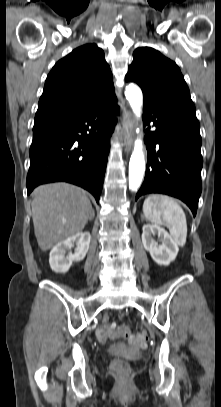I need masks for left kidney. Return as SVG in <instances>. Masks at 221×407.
Masks as SVG:
<instances>
[{"label": "left kidney", "instance_id": "obj_1", "mask_svg": "<svg viewBox=\"0 0 221 407\" xmlns=\"http://www.w3.org/2000/svg\"><path fill=\"white\" fill-rule=\"evenodd\" d=\"M158 236L162 244L154 240V236ZM142 243L152 259L159 265L167 266L175 260L179 247L172 236L158 225L145 224L143 226Z\"/></svg>", "mask_w": 221, "mask_h": 407}]
</instances>
